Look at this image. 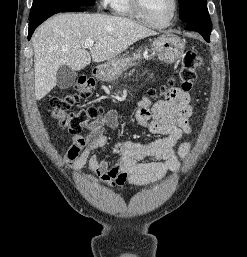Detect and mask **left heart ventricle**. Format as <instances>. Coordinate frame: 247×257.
Here are the masks:
<instances>
[{"label":"left heart ventricle","mask_w":247,"mask_h":257,"mask_svg":"<svg viewBox=\"0 0 247 257\" xmlns=\"http://www.w3.org/2000/svg\"><path fill=\"white\" fill-rule=\"evenodd\" d=\"M149 19L157 24L166 23L173 12V0H142Z\"/></svg>","instance_id":"b2bd125f"}]
</instances>
